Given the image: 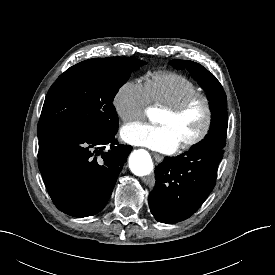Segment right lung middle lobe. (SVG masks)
Returning <instances> with one entry per match:
<instances>
[{"instance_id":"obj_1","label":"right lung middle lobe","mask_w":275,"mask_h":275,"mask_svg":"<svg viewBox=\"0 0 275 275\" xmlns=\"http://www.w3.org/2000/svg\"><path fill=\"white\" fill-rule=\"evenodd\" d=\"M147 64L135 57L94 58L80 62L49 89L38 123L39 140L118 130L113 99L130 74Z\"/></svg>"}]
</instances>
